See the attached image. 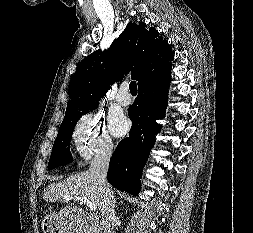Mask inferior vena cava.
<instances>
[{"mask_svg": "<svg viewBox=\"0 0 253 233\" xmlns=\"http://www.w3.org/2000/svg\"><path fill=\"white\" fill-rule=\"evenodd\" d=\"M113 151V144H106L93 158L89 172L96 179L100 192V210L104 218V233H112L115 223L114 197L113 192L107 183L106 175L110 157Z\"/></svg>", "mask_w": 253, "mask_h": 233, "instance_id": "inferior-vena-cava-1", "label": "inferior vena cava"}]
</instances>
